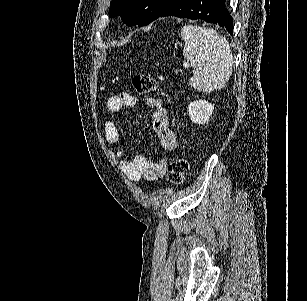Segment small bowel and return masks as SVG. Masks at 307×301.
<instances>
[{
	"instance_id": "small-bowel-1",
	"label": "small bowel",
	"mask_w": 307,
	"mask_h": 301,
	"mask_svg": "<svg viewBox=\"0 0 307 301\" xmlns=\"http://www.w3.org/2000/svg\"><path fill=\"white\" fill-rule=\"evenodd\" d=\"M137 103L138 100L133 94L121 92L107 100L106 109L112 114H117L123 107H135ZM141 104L153 115L152 126L161 147L165 151H173L177 145L176 136L170 128L169 116L162 100L157 97H146L142 99ZM103 129L105 140L111 145L109 154L118 163L120 170L128 179L138 181L144 178L155 181L164 175L166 160L150 161L144 155H136L132 160H126L124 151L118 147L120 133L117 125L112 121H106Z\"/></svg>"
}]
</instances>
